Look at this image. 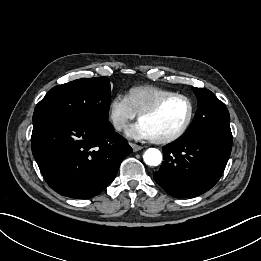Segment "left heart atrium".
Wrapping results in <instances>:
<instances>
[{
	"label": "left heart atrium",
	"mask_w": 261,
	"mask_h": 261,
	"mask_svg": "<svg viewBox=\"0 0 261 261\" xmlns=\"http://www.w3.org/2000/svg\"><path fill=\"white\" fill-rule=\"evenodd\" d=\"M126 135L130 138L135 139H151L148 130L146 127L139 121L129 127L125 131Z\"/></svg>",
	"instance_id": "obj_1"
}]
</instances>
